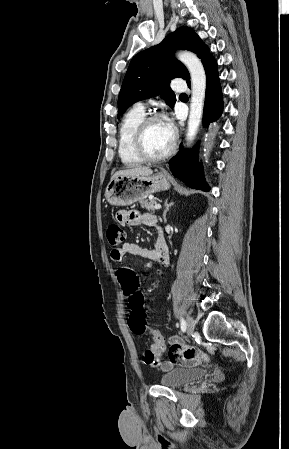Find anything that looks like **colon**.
<instances>
[{"label":"colon","instance_id":"5ec220e1","mask_svg":"<svg viewBox=\"0 0 289 449\" xmlns=\"http://www.w3.org/2000/svg\"><path fill=\"white\" fill-rule=\"evenodd\" d=\"M106 235L109 245L113 248H118L125 239L124 230L114 223L108 226ZM117 279L123 296L126 298L125 301L130 306L129 327L135 334L151 336L152 344L145 351L144 360L148 365L157 367L160 356L168 350L164 347L166 343L162 335L147 324L139 281L134 273V268H117Z\"/></svg>","mask_w":289,"mask_h":449}]
</instances>
